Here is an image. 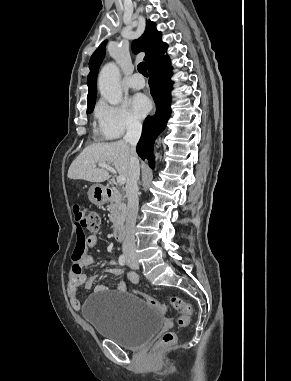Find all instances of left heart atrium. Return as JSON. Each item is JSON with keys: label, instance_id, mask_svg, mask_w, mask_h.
<instances>
[{"label": "left heart atrium", "instance_id": "obj_1", "mask_svg": "<svg viewBox=\"0 0 291 381\" xmlns=\"http://www.w3.org/2000/svg\"><path fill=\"white\" fill-rule=\"evenodd\" d=\"M132 109L139 117H144L151 110L150 100L143 94L132 98Z\"/></svg>", "mask_w": 291, "mask_h": 381}]
</instances>
